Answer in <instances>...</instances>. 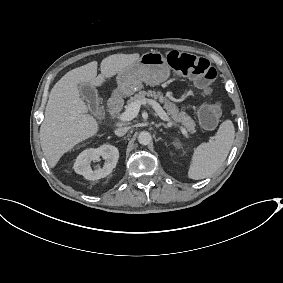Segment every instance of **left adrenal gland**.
<instances>
[{
  "instance_id": "a2214340",
  "label": "left adrenal gland",
  "mask_w": 283,
  "mask_h": 283,
  "mask_svg": "<svg viewBox=\"0 0 283 283\" xmlns=\"http://www.w3.org/2000/svg\"><path fill=\"white\" fill-rule=\"evenodd\" d=\"M160 126H163L165 129H168V128H169V126H166V125L163 124V123H159V124H156V125H155L156 128H159Z\"/></svg>"
}]
</instances>
